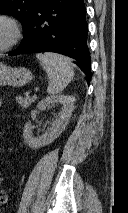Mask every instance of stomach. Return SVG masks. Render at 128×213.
<instances>
[{
    "mask_svg": "<svg viewBox=\"0 0 128 213\" xmlns=\"http://www.w3.org/2000/svg\"><path fill=\"white\" fill-rule=\"evenodd\" d=\"M33 78L32 72L25 67H10L0 63V86H23Z\"/></svg>",
    "mask_w": 128,
    "mask_h": 213,
    "instance_id": "stomach-1",
    "label": "stomach"
}]
</instances>
